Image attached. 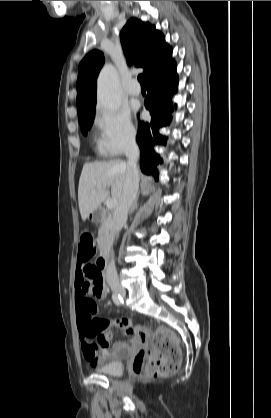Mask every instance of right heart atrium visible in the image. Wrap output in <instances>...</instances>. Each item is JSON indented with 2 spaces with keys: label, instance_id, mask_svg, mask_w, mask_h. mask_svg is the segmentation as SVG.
<instances>
[{
  "label": "right heart atrium",
  "instance_id": "1",
  "mask_svg": "<svg viewBox=\"0 0 271 418\" xmlns=\"http://www.w3.org/2000/svg\"><path fill=\"white\" fill-rule=\"evenodd\" d=\"M95 123L100 134L99 144L108 155H119L134 144L136 130L126 110L99 108Z\"/></svg>",
  "mask_w": 271,
  "mask_h": 418
}]
</instances>
